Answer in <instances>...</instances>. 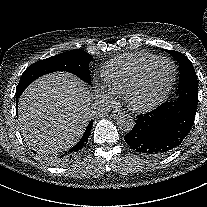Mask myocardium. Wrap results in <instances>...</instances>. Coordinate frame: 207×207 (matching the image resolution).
I'll list each match as a JSON object with an SVG mask.
<instances>
[{"mask_svg":"<svg viewBox=\"0 0 207 207\" xmlns=\"http://www.w3.org/2000/svg\"><path fill=\"white\" fill-rule=\"evenodd\" d=\"M160 62H169L173 65L174 67V73H173V77H172V80H171V83L164 95V98H167L168 96L171 95L174 87H175V84H176V81H177V76H178V69H177V65L175 63L174 60H172L171 58H168V57H160V58H157L153 61H151L150 63H148L142 70L141 72L139 73V75L137 76V78L130 84V86L127 88L125 94H124V101L126 103V105L128 106V108L130 110H132L133 112H141L142 109L144 107H141V106H138L136 105L133 101H132V97L133 95L140 89L143 87L144 83H145V80H146V77H147V74L148 72L155 66L157 65L158 63Z\"/></svg>","mask_w":207,"mask_h":207,"instance_id":"obj_1","label":"myocardium"}]
</instances>
